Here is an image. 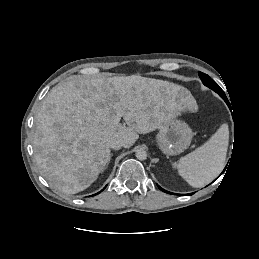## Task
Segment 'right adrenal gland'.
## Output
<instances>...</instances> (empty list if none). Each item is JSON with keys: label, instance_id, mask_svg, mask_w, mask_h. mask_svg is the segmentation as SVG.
<instances>
[{"label": "right adrenal gland", "instance_id": "right-adrenal-gland-1", "mask_svg": "<svg viewBox=\"0 0 259 259\" xmlns=\"http://www.w3.org/2000/svg\"><path fill=\"white\" fill-rule=\"evenodd\" d=\"M111 157H112V154L110 155V158H109V161H108V163H107V166H108V164L110 163Z\"/></svg>", "mask_w": 259, "mask_h": 259}]
</instances>
